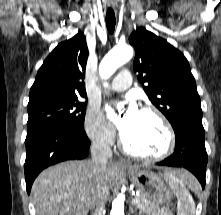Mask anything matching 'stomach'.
<instances>
[{
    "instance_id": "stomach-1",
    "label": "stomach",
    "mask_w": 221,
    "mask_h": 215,
    "mask_svg": "<svg viewBox=\"0 0 221 215\" xmlns=\"http://www.w3.org/2000/svg\"><path fill=\"white\" fill-rule=\"evenodd\" d=\"M130 180L136 186L138 191L150 202L158 204L170 203L173 199V193L168 183L149 170H140L134 168L127 172Z\"/></svg>"
}]
</instances>
